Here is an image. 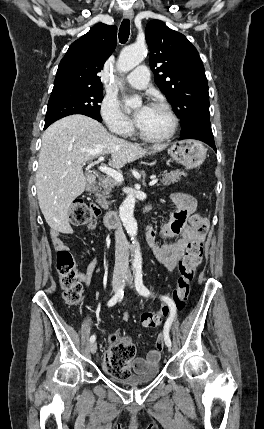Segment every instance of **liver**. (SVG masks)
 Listing matches in <instances>:
<instances>
[{
  "mask_svg": "<svg viewBox=\"0 0 264 429\" xmlns=\"http://www.w3.org/2000/svg\"><path fill=\"white\" fill-rule=\"evenodd\" d=\"M166 147L153 145L148 152L110 134L102 124L85 115H70L56 121L43 133L36 173L38 202L46 222L56 232H73L68 211L72 201L85 190V162L111 154L109 165L122 168Z\"/></svg>",
  "mask_w": 264,
  "mask_h": 429,
  "instance_id": "6515ba94",
  "label": "liver"
}]
</instances>
